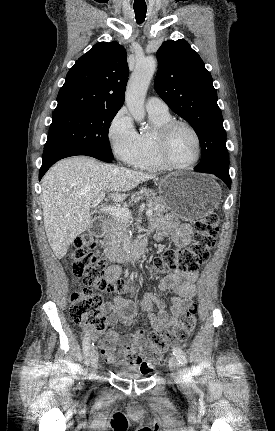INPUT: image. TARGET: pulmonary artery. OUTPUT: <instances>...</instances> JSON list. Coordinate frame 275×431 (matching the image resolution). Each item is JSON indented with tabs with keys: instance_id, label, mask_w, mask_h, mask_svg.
<instances>
[{
	"instance_id": "1",
	"label": "pulmonary artery",
	"mask_w": 275,
	"mask_h": 431,
	"mask_svg": "<svg viewBox=\"0 0 275 431\" xmlns=\"http://www.w3.org/2000/svg\"><path fill=\"white\" fill-rule=\"evenodd\" d=\"M146 109L149 113H168L167 104L159 97H149L146 101Z\"/></svg>"
}]
</instances>
